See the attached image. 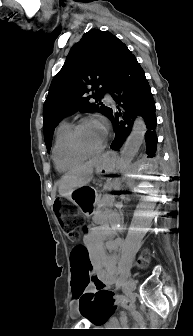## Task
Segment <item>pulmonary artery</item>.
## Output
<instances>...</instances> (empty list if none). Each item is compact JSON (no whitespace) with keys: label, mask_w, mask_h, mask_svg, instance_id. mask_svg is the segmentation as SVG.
Here are the masks:
<instances>
[{"label":"pulmonary artery","mask_w":193,"mask_h":336,"mask_svg":"<svg viewBox=\"0 0 193 336\" xmlns=\"http://www.w3.org/2000/svg\"><path fill=\"white\" fill-rule=\"evenodd\" d=\"M105 102L106 103H108V104H110V105H112V106H114L115 105V101H114V99L111 97V96H105Z\"/></svg>","instance_id":"obj_1"}]
</instances>
